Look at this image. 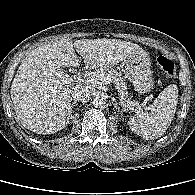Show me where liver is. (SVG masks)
<instances>
[{
  "instance_id": "1",
  "label": "liver",
  "mask_w": 195,
  "mask_h": 195,
  "mask_svg": "<svg viewBox=\"0 0 195 195\" xmlns=\"http://www.w3.org/2000/svg\"><path fill=\"white\" fill-rule=\"evenodd\" d=\"M77 53L88 69H108L137 53L138 44L117 39H62L32 50L20 64L11 85L17 120L38 134H53L69 122L71 92L75 80L60 67L79 64Z\"/></svg>"
}]
</instances>
